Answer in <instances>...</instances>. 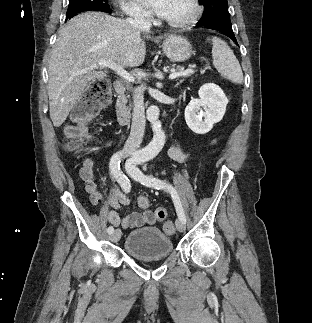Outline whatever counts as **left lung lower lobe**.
<instances>
[{"label":"left lung lower lobe","mask_w":312,"mask_h":323,"mask_svg":"<svg viewBox=\"0 0 312 323\" xmlns=\"http://www.w3.org/2000/svg\"><path fill=\"white\" fill-rule=\"evenodd\" d=\"M198 27V26H196ZM204 28H207V29H212V30H216L228 37H230L234 42L237 43V40L235 38V35L233 33V30H232V25L231 23L229 22H225V21H220L218 24L216 25H213V26H202Z\"/></svg>","instance_id":"obj_1"}]
</instances>
